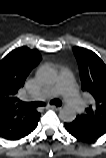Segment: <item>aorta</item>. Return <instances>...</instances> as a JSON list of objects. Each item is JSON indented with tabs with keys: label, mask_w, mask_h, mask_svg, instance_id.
<instances>
[{
	"label": "aorta",
	"mask_w": 106,
	"mask_h": 158,
	"mask_svg": "<svg viewBox=\"0 0 106 158\" xmlns=\"http://www.w3.org/2000/svg\"><path fill=\"white\" fill-rule=\"evenodd\" d=\"M43 81L54 82L56 73L53 69L48 68L43 73ZM60 118L65 122H72L76 118V109L73 106L66 105L60 110Z\"/></svg>",
	"instance_id": "aorta-1"
}]
</instances>
